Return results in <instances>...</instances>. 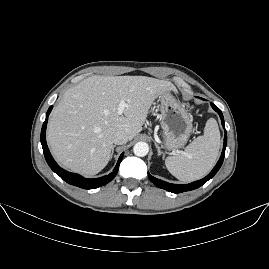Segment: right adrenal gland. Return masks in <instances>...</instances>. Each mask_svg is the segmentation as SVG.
Here are the masks:
<instances>
[{
	"instance_id": "1",
	"label": "right adrenal gland",
	"mask_w": 269,
	"mask_h": 269,
	"mask_svg": "<svg viewBox=\"0 0 269 269\" xmlns=\"http://www.w3.org/2000/svg\"><path fill=\"white\" fill-rule=\"evenodd\" d=\"M116 146L114 145L113 146V148H112V151H111V154H110V158H112V155H113V152H114V148H115Z\"/></svg>"
}]
</instances>
